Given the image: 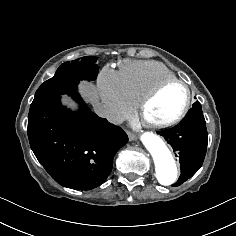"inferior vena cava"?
<instances>
[{"mask_svg": "<svg viewBox=\"0 0 236 236\" xmlns=\"http://www.w3.org/2000/svg\"><path fill=\"white\" fill-rule=\"evenodd\" d=\"M94 111L98 116L106 118L109 122H116L114 118V112L111 111L109 108L97 105L94 107Z\"/></svg>", "mask_w": 236, "mask_h": 236, "instance_id": "1", "label": "inferior vena cava"}]
</instances>
